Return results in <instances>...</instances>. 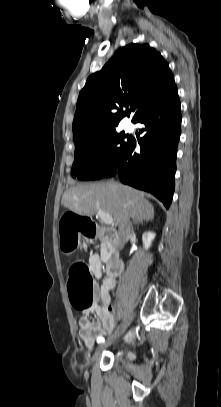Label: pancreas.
Instances as JSON below:
<instances>
[{"instance_id":"cf45deb5","label":"pancreas","mask_w":221,"mask_h":407,"mask_svg":"<svg viewBox=\"0 0 221 407\" xmlns=\"http://www.w3.org/2000/svg\"><path fill=\"white\" fill-rule=\"evenodd\" d=\"M101 257L107 260L108 256L114 250V243L112 237L102 238Z\"/></svg>"}]
</instances>
